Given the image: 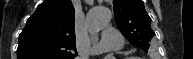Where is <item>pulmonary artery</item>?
<instances>
[{
    "mask_svg": "<svg viewBox=\"0 0 193 59\" xmlns=\"http://www.w3.org/2000/svg\"><path fill=\"white\" fill-rule=\"evenodd\" d=\"M122 47L121 34L110 26L103 29L102 39L92 49L91 54H100L105 48L120 49Z\"/></svg>",
    "mask_w": 193,
    "mask_h": 59,
    "instance_id": "pulmonary-artery-1",
    "label": "pulmonary artery"
}]
</instances>
